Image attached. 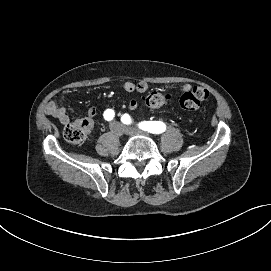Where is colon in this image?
Instances as JSON below:
<instances>
[{
    "mask_svg": "<svg viewBox=\"0 0 271 271\" xmlns=\"http://www.w3.org/2000/svg\"><path fill=\"white\" fill-rule=\"evenodd\" d=\"M208 96L209 92L207 89L201 86H194L181 95L179 103L185 110H196ZM167 101L168 96L158 91L150 92L142 98V104L152 109L163 107ZM88 131V123L82 120L68 124L64 129L63 135L66 141L82 145L86 141Z\"/></svg>",
    "mask_w": 271,
    "mask_h": 271,
    "instance_id": "obj_1",
    "label": "colon"
}]
</instances>
